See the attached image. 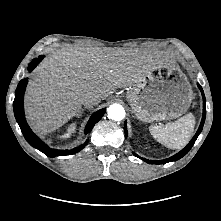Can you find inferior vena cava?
<instances>
[{
  "label": "inferior vena cava",
  "mask_w": 221,
  "mask_h": 221,
  "mask_svg": "<svg viewBox=\"0 0 221 221\" xmlns=\"http://www.w3.org/2000/svg\"><path fill=\"white\" fill-rule=\"evenodd\" d=\"M99 101V96L93 92H88L83 97V105L87 108L97 105Z\"/></svg>",
  "instance_id": "602c4592"
}]
</instances>
